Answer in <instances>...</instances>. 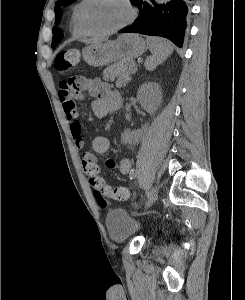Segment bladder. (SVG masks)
<instances>
[{
  "label": "bladder",
  "mask_w": 245,
  "mask_h": 300,
  "mask_svg": "<svg viewBox=\"0 0 245 300\" xmlns=\"http://www.w3.org/2000/svg\"><path fill=\"white\" fill-rule=\"evenodd\" d=\"M106 228L109 237L115 242H123L137 234L140 223L122 209L111 210L106 216Z\"/></svg>",
  "instance_id": "1"
}]
</instances>
